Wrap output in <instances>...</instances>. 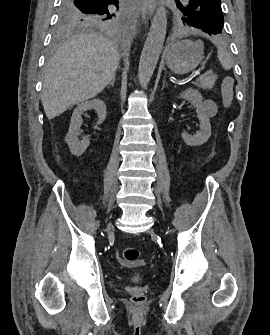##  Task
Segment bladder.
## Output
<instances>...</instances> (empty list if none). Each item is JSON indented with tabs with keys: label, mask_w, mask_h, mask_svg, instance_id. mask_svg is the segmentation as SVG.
<instances>
[{
	"label": "bladder",
	"mask_w": 270,
	"mask_h": 335,
	"mask_svg": "<svg viewBox=\"0 0 270 335\" xmlns=\"http://www.w3.org/2000/svg\"><path fill=\"white\" fill-rule=\"evenodd\" d=\"M132 281L138 282L144 276V270H135L129 272Z\"/></svg>",
	"instance_id": "1"
}]
</instances>
